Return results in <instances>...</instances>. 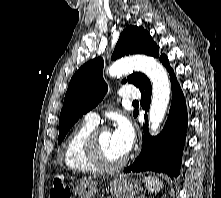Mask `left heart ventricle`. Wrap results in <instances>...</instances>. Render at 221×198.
Segmentation results:
<instances>
[{
    "instance_id": "obj_1",
    "label": "left heart ventricle",
    "mask_w": 221,
    "mask_h": 198,
    "mask_svg": "<svg viewBox=\"0 0 221 198\" xmlns=\"http://www.w3.org/2000/svg\"><path fill=\"white\" fill-rule=\"evenodd\" d=\"M100 146H101L104 156L109 161H118V160H121L125 156L121 154L119 150L115 147L112 141V136H111L110 131H107L101 134Z\"/></svg>"
}]
</instances>
